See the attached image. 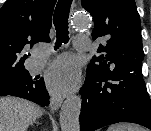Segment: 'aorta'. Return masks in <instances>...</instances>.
Listing matches in <instances>:
<instances>
[{
    "label": "aorta",
    "mask_w": 151,
    "mask_h": 131,
    "mask_svg": "<svg viewBox=\"0 0 151 131\" xmlns=\"http://www.w3.org/2000/svg\"><path fill=\"white\" fill-rule=\"evenodd\" d=\"M73 27L76 29H86L89 26V18L85 14H78L73 19ZM82 100L79 96L71 95L62 104L60 111L61 131H79V115Z\"/></svg>",
    "instance_id": "obj_1"
}]
</instances>
